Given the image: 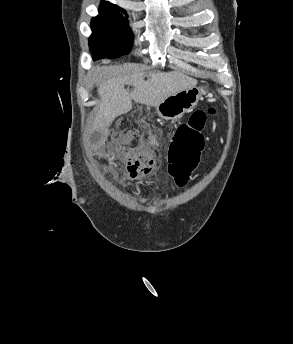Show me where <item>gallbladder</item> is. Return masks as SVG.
I'll return each instance as SVG.
<instances>
[{
	"label": "gallbladder",
	"mask_w": 293,
	"mask_h": 344,
	"mask_svg": "<svg viewBox=\"0 0 293 344\" xmlns=\"http://www.w3.org/2000/svg\"><path fill=\"white\" fill-rule=\"evenodd\" d=\"M102 136H103V133L101 131L94 132L91 136V143L96 144L101 139Z\"/></svg>",
	"instance_id": "obj_1"
}]
</instances>
